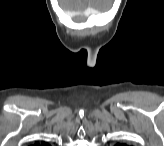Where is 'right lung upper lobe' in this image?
Wrapping results in <instances>:
<instances>
[{"mask_svg": "<svg viewBox=\"0 0 164 146\" xmlns=\"http://www.w3.org/2000/svg\"><path fill=\"white\" fill-rule=\"evenodd\" d=\"M42 146H46V144L45 143H42Z\"/></svg>", "mask_w": 164, "mask_h": 146, "instance_id": "cb5924a9", "label": "right lung upper lobe"}]
</instances>
